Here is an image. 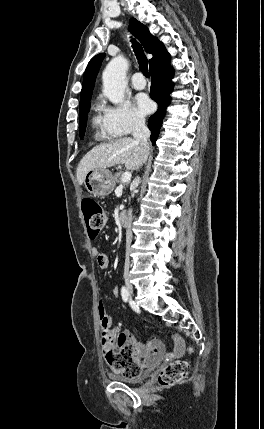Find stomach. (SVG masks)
Masks as SVG:
<instances>
[{
  "label": "stomach",
  "mask_w": 264,
  "mask_h": 429,
  "mask_svg": "<svg viewBox=\"0 0 264 429\" xmlns=\"http://www.w3.org/2000/svg\"><path fill=\"white\" fill-rule=\"evenodd\" d=\"M84 184L93 196L105 197L114 190L115 180L110 170L93 169L86 173Z\"/></svg>",
  "instance_id": "1"
}]
</instances>
